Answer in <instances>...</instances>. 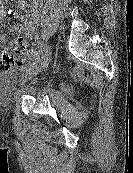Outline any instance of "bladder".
<instances>
[{"instance_id": "bladder-1", "label": "bladder", "mask_w": 133, "mask_h": 173, "mask_svg": "<svg viewBox=\"0 0 133 173\" xmlns=\"http://www.w3.org/2000/svg\"><path fill=\"white\" fill-rule=\"evenodd\" d=\"M17 86L16 70L0 72V100H8L15 92Z\"/></svg>"}]
</instances>
